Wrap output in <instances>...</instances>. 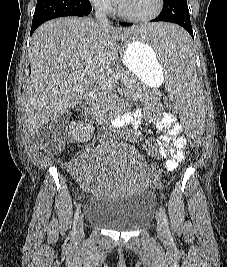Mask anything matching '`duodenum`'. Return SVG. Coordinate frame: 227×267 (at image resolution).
<instances>
[{
	"label": "duodenum",
	"instance_id": "obj_1",
	"mask_svg": "<svg viewBox=\"0 0 227 267\" xmlns=\"http://www.w3.org/2000/svg\"><path fill=\"white\" fill-rule=\"evenodd\" d=\"M85 100L87 107L91 114L99 120L108 119V113L105 109L100 108L96 105V91L94 89H89L86 93Z\"/></svg>",
	"mask_w": 227,
	"mask_h": 267
}]
</instances>
